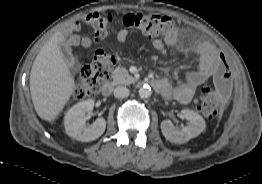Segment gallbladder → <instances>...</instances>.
Returning a JSON list of instances; mask_svg holds the SVG:
<instances>
[{
  "label": "gallbladder",
  "mask_w": 262,
  "mask_h": 184,
  "mask_svg": "<svg viewBox=\"0 0 262 184\" xmlns=\"http://www.w3.org/2000/svg\"><path fill=\"white\" fill-rule=\"evenodd\" d=\"M62 51H63L64 58H65L67 65L69 67H73L74 64H75V58H74L72 52L66 46L63 47Z\"/></svg>",
  "instance_id": "bac80fb5"
}]
</instances>
